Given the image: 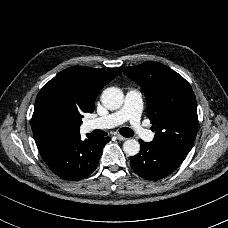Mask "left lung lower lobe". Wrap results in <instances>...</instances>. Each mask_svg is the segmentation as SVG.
I'll list each match as a JSON object with an SVG mask.
<instances>
[{"mask_svg": "<svg viewBox=\"0 0 228 228\" xmlns=\"http://www.w3.org/2000/svg\"><path fill=\"white\" fill-rule=\"evenodd\" d=\"M140 142L139 154L130 158L133 171L146 180L156 181L170 175L184 161L187 152L168 149L154 142Z\"/></svg>", "mask_w": 228, "mask_h": 228, "instance_id": "1", "label": "left lung lower lobe"}]
</instances>
